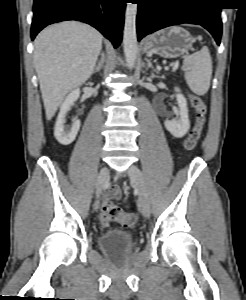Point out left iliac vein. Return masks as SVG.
<instances>
[{"mask_svg":"<svg viewBox=\"0 0 246 300\" xmlns=\"http://www.w3.org/2000/svg\"><path fill=\"white\" fill-rule=\"evenodd\" d=\"M128 175L131 184L138 189L139 192V208L143 216L149 217L150 215V202L146 182L142 171L136 166L131 165L128 169Z\"/></svg>","mask_w":246,"mask_h":300,"instance_id":"obj_1","label":"left iliac vein"}]
</instances>
